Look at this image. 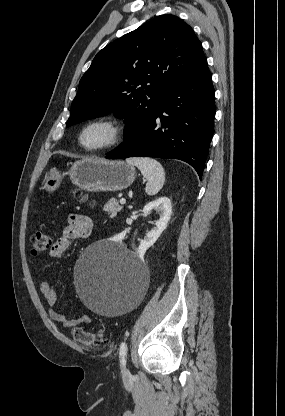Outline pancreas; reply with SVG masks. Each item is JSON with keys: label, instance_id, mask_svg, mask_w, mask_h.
<instances>
[{"label": "pancreas", "instance_id": "pancreas-1", "mask_svg": "<svg viewBox=\"0 0 285 416\" xmlns=\"http://www.w3.org/2000/svg\"><path fill=\"white\" fill-rule=\"evenodd\" d=\"M123 206H119L116 198H111L108 200L107 204L103 206V212H108L110 218H115L118 212H121Z\"/></svg>", "mask_w": 285, "mask_h": 416}]
</instances>
